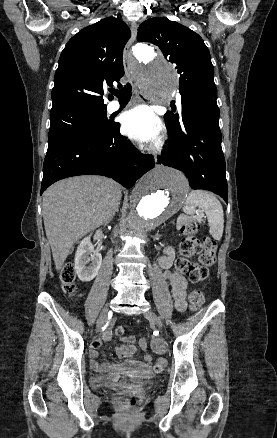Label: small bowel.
I'll return each mask as SVG.
<instances>
[{"instance_id": "1", "label": "small bowel", "mask_w": 277, "mask_h": 438, "mask_svg": "<svg viewBox=\"0 0 277 438\" xmlns=\"http://www.w3.org/2000/svg\"><path fill=\"white\" fill-rule=\"evenodd\" d=\"M175 258L174 250L170 247L166 248L164 254L159 259L160 267L165 271L164 277L169 281L172 287V294L175 301V306L179 311H184L186 308V279L178 274L176 271L172 269L173 261ZM104 333V337L102 341L107 343L109 338L112 337L113 332L110 326L105 325L102 328ZM100 344L98 342H93L91 344L90 356H96V349H98ZM140 348L142 350L146 349V341L142 340L140 342ZM136 349L134 346H121L117 348V354L120 358H125L132 356L135 353ZM151 361V356L149 354H145L144 362H137L134 360L127 359H112L109 364L99 365L97 362L92 363V367L95 370H98L103 379H107L110 383H117L121 377V371H124L128 375L133 374H146L150 370L149 363Z\"/></svg>"}]
</instances>
